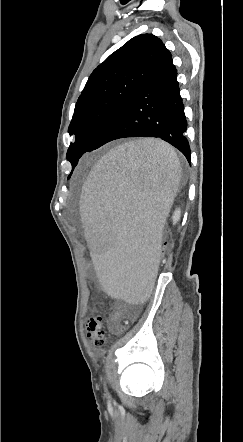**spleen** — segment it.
<instances>
[{
	"instance_id": "obj_1",
	"label": "spleen",
	"mask_w": 243,
	"mask_h": 442,
	"mask_svg": "<svg viewBox=\"0 0 243 442\" xmlns=\"http://www.w3.org/2000/svg\"><path fill=\"white\" fill-rule=\"evenodd\" d=\"M181 177L172 147L156 139L120 145L105 155L82 184L79 226L96 263L105 296L142 307L159 268L164 219ZM158 192V193H145Z\"/></svg>"
}]
</instances>
